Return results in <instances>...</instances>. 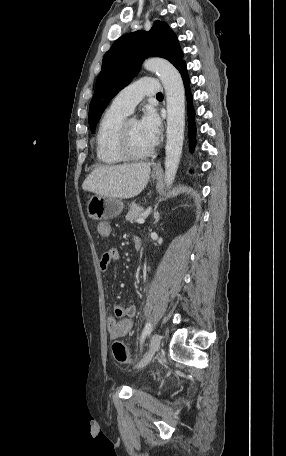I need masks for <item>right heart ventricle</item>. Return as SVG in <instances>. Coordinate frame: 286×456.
Returning a JSON list of instances; mask_svg holds the SVG:
<instances>
[{"mask_svg":"<svg viewBox=\"0 0 286 456\" xmlns=\"http://www.w3.org/2000/svg\"><path fill=\"white\" fill-rule=\"evenodd\" d=\"M127 113L110 106L104 113L96 133V155L105 165H116L125 161L118 150V132Z\"/></svg>","mask_w":286,"mask_h":456,"instance_id":"obj_1","label":"right heart ventricle"}]
</instances>
